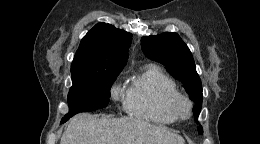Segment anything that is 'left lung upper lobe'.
I'll return each instance as SVG.
<instances>
[{
    "mask_svg": "<svg viewBox=\"0 0 260 144\" xmlns=\"http://www.w3.org/2000/svg\"><path fill=\"white\" fill-rule=\"evenodd\" d=\"M141 47L146 57L163 64L174 78L184 84L186 92L196 104L193 112L197 120L202 107V84L187 45L178 34L165 32L142 37ZM202 133L200 125L199 134Z\"/></svg>",
    "mask_w": 260,
    "mask_h": 144,
    "instance_id": "obj_1",
    "label": "left lung upper lobe"
}]
</instances>
